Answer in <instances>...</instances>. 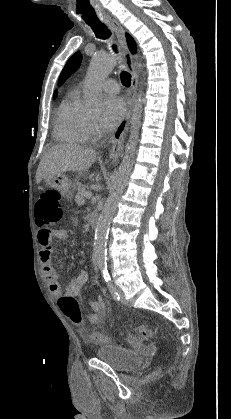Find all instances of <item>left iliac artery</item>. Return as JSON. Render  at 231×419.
Masks as SVG:
<instances>
[{
	"mask_svg": "<svg viewBox=\"0 0 231 419\" xmlns=\"http://www.w3.org/2000/svg\"><path fill=\"white\" fill-rule=\"evenodd\" d=\"M100 269H101V272L103 274V277H104V279H105V281L107 283V286L109 288V291H110L113 299L114 300H119L120 299V296H119L116 288L112 284L111 277H110V275L108 273V270H107V265H101L100 266Z\"/></svg>",
	"mask_w": 231,
	"mask_h": 419,
	"instance_id": "obj_1",
	"label": "left iliac artery"
}]
</instances>
